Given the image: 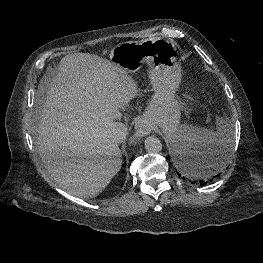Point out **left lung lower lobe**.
<instances>
[{"label": "left lung lower lobe", "mask_w": 263, "mask_h": 263, "mask_svg": "<svg viewBox=\"0 0 263 263\" xmlns=\"http://www.w3.org/2000/svg\"><path fill=\"white\" fill-rule=\"evenodd\" d=\"M223 149V146L217 144L206 145L195 152L176 149L174 154L178 176L200 186L212 182L219 177L215 166L220 163Z\"/></svg>", "instance_id": "0a47b994"}]
</instances>
